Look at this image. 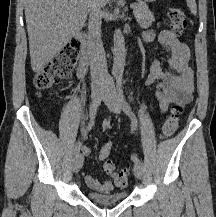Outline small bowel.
I'll return each mask as SVG.
<instances>
[{"instance_id": "1", "label": "small bowel", "mask_w": 216, "mask_h": 217, "mask_svg": "<svg viewBox=\"0 0 216 217\" xmlns=\"http://www.w3.org/2000/svg\"><path fill=\"white\" fill-rule=\"evenodd\" d=\"M158 41L163 49L168 53V66L166 70L160 59L154 60L150 73L145 80L146 86H155V95L159 102L160 113L166 114L171 104L187 105L193 99L194 93V71L191 67V52L188 45L179 40L169 30H163L158 34ZM156 38L154 30L145 32L142 35L144 41H152ZM85 72L79 71V76L83 78ZM113 147V142L108 140L100 149L98 160L105 163ZM80 149L85 155H90L91 151L85 145ZM106 172V171H105ZM110 175V173L106 172ZM86 184L97 191L107 192L112 188V181L100 182L91 175H85Z\"/></svg>"}]
</instances>
